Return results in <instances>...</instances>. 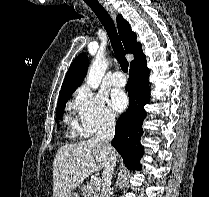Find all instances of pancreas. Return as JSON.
Wrapping results in <instances>:
<instances>
[{
  "mask_svg": "<svg viewBox=\"0 0 209 197\" xmlns=\"http://www.w3.org/2000/svg\"><path fill=\"white\" fill-rule=\"evenodd\" d=\"M81 191L84 197H100V185H95L92 182L83 185Z\"/></svg>",
  "mask_w": 209,
  "mask_h": 197,
  "instance_id": "pancreas-1",
  "label": "pancreas"
}]
</instances>
